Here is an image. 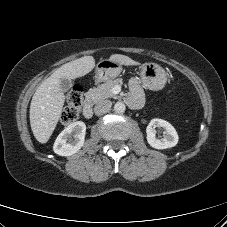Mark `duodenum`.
<instances>
[{"mask_svg": "<svg viewBox=\"0 0 227 227\" xmlns=\"http://www.w3.org/2000/svg\"><path fill=\"white\" fill-rule=\"evenodd\" d=\"M83 115L85 118H91L93 115L92 105L89 101H86L83 106Z\"/></svg>", "mask_w": 227, "mask_h": 227, "instance_id": "duodenum-1", "label": "duodenum"}]
</instances>
